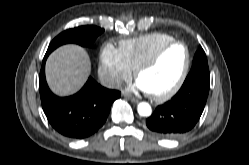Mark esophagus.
Here are the masks:
<instances>
[{
	"mask_svg": "<svg viewBox=\"0 0 249 165\" xmlns=\"http://www.w3.org/2000/svg\"><path fill=\"white\" fill-rule=\"evenodd\" d=\"M123 95H124L126 98H128L131 102H133V103H137V102H138V99H137V98L131 96V95L128 94V93H124Z\"/></svg>",
	"mask_w": 249,
	"mask_h": 165,
	"instance_id": "34e87169",
	"label": "esophagus"
}]
</instances>
